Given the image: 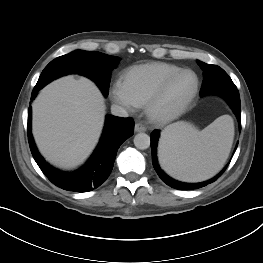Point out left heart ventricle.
Returning <instances> with one entry per match:
<instances>
[{"label": "left heart ventricle", "instance_id": "obj_1", "mask_svg": "<svg viewBox=\"0 0 263 263\" xmlns=\"http://www.w3.org/2000/svg\"><path fill=\"white\" fill-rule=\"evenodd\" d=\"M195 86V77L192 73H184L176 78L159 104L160 111L173 109L182 103L192 92Z\"/></svg>", "mask_w": 263, "mask_h": 263}]
</instances>
